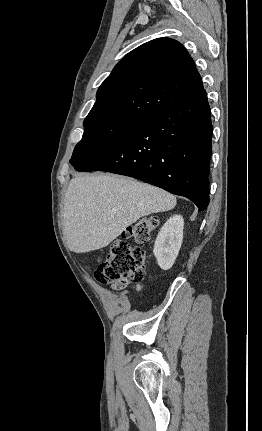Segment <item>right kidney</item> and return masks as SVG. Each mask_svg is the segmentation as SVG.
Instances as JSON below:
<instances>
[{
	"label": "right kidney",
	"mask_w": 262,
	"mask_h": 431,
	"mask_svg": "<svg viewBox=\"0 0 262 431\" xmlns=\"http://www.w3.org/2000/svg\"><path fill=\"white\" fill-rule=\"evenodd\" d=\"M184 220L180 215L169 218L161 228L153 249L158 265L170 269L179 253L183 240Z\"/></svg>",
	"instance_id": "ca27d5eb"
}]
</instances>
